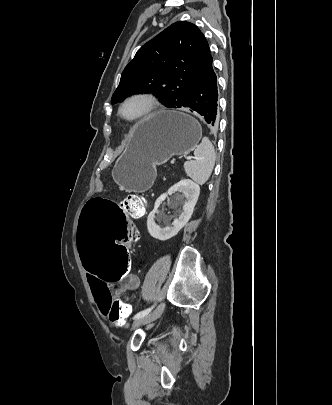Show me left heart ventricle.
Masks as SVG:
<instances>
[{
	"instance_id": "1",
	"label": "left heart ventricle",
	"mask_w": 332,
	"mask_h": 405,
	"mask_svg": "<svg viewBox=\"0 0 332 405\" xmlns=\"http://www.w3.org/2000/svg\"><path fill=\"white\" fill-rule=\"evenodd\" d=\"M144 108V102L139 100L131 101L124 107L123 114L126 117H134L140 114Z\"/></svg>"
}]
</instances>
